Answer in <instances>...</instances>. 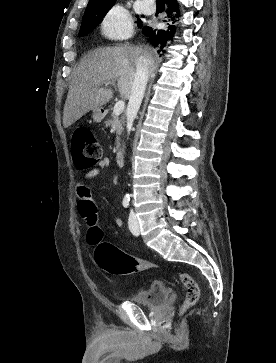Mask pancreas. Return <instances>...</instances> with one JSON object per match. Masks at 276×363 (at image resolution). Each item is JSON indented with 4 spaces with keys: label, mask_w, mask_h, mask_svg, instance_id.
I'll return each mask as SVG.
<instances>
[{
    "label": "pancreas",
    "mask_w": 276,
    "mask_h": 363,
    "mask_svg": "<svg viewBox=\"0 0 276 363\" xmlns=\"http://www.w3.org/2000/svg\"><path fill=\"white\" fill-rule=\"evenodd\" d=\"M124 117H121V119H119L114 112L111 114V117L105 121V126L108 127H114L116 128V149L118 150L120 148V135L123 132V125H124Z\"/></svg>",
    "instance_id": "obj_1"
}]
</instances>
